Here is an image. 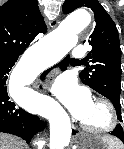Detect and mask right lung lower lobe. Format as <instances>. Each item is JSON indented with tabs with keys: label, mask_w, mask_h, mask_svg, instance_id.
I'll use <instances>...</instances> for the list:
<instances>
[{
	"label": "right lung lower lobe",
	"mask_w": 124,
	"mask_h": 149,
	"mask_svg": "<svg viewBox=\"0 0 124 149\" xmlns=\"http://www.w3.org/2000/svg\"><path fill=\"white\" fill-rule=\"evenodd\" d=\"M19 56L0 58V132L21 137L29 143L45 124L37 116L17 107L9 99L6 81Z\"/></svg>",
	"instance_id": "obj_1"
}]
</instances>
